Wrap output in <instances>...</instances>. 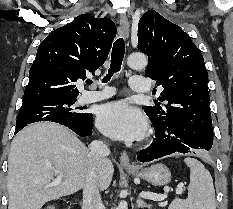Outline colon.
I'll use <instances>...</instances> for the list:
<instances>
[{"label": "colon", "mask_w": 233, "mask_h": 209, "mask_svg": "<svg viewBox=\"0 0 233 209\" xmlns=\"http://www.w3.org/2000/svg\"><path fill=\"white\" fill-rule=\"evenodd\" d=\"M43 209H56L54 206H46V207H44Z\"/></svg>", "instance_id": "5ec220e1"}]
</instances>
